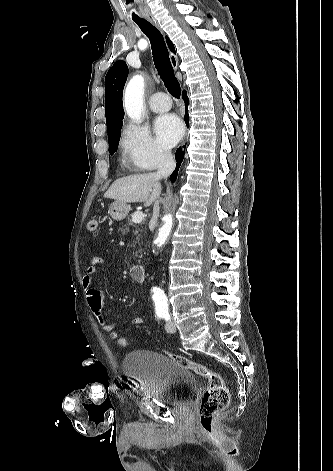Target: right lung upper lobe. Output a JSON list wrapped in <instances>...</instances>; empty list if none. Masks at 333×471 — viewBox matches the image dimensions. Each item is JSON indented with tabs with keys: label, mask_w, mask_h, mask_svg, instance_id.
<instances>
[{
	"label": "right lung upper lobe",
	"mask_w": 333,
	"mask_h": 471,
	"mask_svg": "<svg viewBox=\"0 0 333 471\" xmlns=\"http://www.w3.org/2000/svg\"><path fill=\"white\" fill-rule=\"evenodd\" d=\"M169 49L175 53L174 45L168 37ZM128 76V67L124 61H116L105 77V109L107 131L122 123L124 110L122 92Z\"/></svg>",
	"instance_id": "right-lung-upper-lobe-1"
}]
</instances>
